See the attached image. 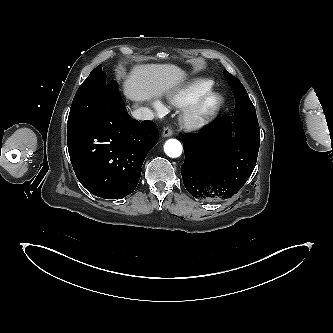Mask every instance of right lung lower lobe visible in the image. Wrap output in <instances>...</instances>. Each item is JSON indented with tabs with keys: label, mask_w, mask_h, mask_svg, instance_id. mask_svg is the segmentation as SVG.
I'll return each mask as SVG.
<instances>
[{
	"label": "right lung lower lobe",
	"mask_w": 333,
	"mask_h": 333,
	"mask_svg": "<svg viewBox=\"0 0 333 333\" xmlns=\"http://www.w3.org/2000/svg\"><path fill=\"white\" fill-rule=\"evenodd\" d=\"M112 82L92 114L67 130L69 156L78 180L105 199L123 198L135 190L144 159L158 140L155 124L134 120Z\"/></svg>",
	"instance_id": "right-lung-lower-lobe-1"
}]
</instances>
